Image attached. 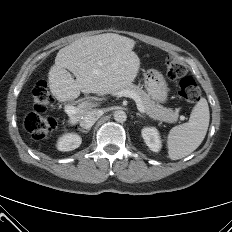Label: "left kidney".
<instances>
[{"instance_id": "obj_1", "label": "left kidney", "mask_w": 232, "mask_h": 232, "mask_svg": "<svg viewBox=\"0 0 232 232\" xmlns=\"http://www.w3.org/2000/svg\"><path fill=\"white\" fill-rule=\"evenodd\" d=\"M142 137L146 145L153 152H158L161 149V140L159 132L154 127H145L142 129Z\"/></svg>"}]
</instances>
